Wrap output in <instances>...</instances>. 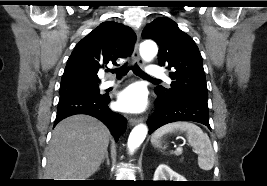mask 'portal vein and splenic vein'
Here are the masks:
<instances>
[{"instance_id":"18ae733b","label":"portal vein and splenic vein","mask_w":267,"mask_h":186,"mask_svg":"<svg viewBox=\"0 0 267 186\" xmlns=\"http://www.w3.org/2000/svg\"><path fill=\"white\" fill-rule=\"evenodd\" d=\"M181 152H182V148L181 147H177L175 153L176 154H180Z\"/></svg>"}]
</instances>
